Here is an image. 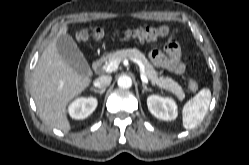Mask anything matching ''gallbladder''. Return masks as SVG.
<instances>
[{
    "label": "gallbladder",
    "mask_w": 249,
    "mask_h": 165,
    "mask_svg": "<svg viewBox=\"0 0 249 165\" xmlns=\"http://www.w3.org/2000/svg\"><path fill=\"white\" fill-rule=\"evenodd\" d=\"M56 47L63 60L78 74L87 76L91 72L88 62L71 36L60 35Z\"/></svg>",
    "instance_id": "gallbladder-1"
}]
</instances>
